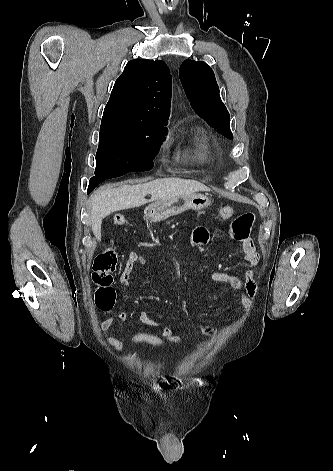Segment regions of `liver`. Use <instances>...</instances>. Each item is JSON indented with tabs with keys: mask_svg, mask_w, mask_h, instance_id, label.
I'll list each match as a JSON object with an SVG mask.
<instances>
[{
	"mask_svg": "<svg viewBox=\"0 0 333 471\" xmlns=\"http://www.w3.org/2000/svg\"><path fill=\"white\" fill-rule=\"evenodd\" d=\"M208 190V187L198 181L176 177L156 179L134 186L123 185L117 188L103 186L91 197L93 234L100 241L102 221L113 212L136 208L148 202L167 201L178 196ZM148 194L151 195L150 200L145 199Z\"/></svg>",
	"mask_w": 333,
	"mask_h": 471,
	"instance_id": "obj_1",
	"label": "liver"
}]
</instances>
